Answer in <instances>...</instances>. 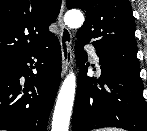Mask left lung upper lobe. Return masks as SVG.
Masks as SVG:
<instances>
[{"label":"left lung upper lobe","instance_id":"obj_1","mask_svg":"<svg viewBox=\"0 0 147 131\" xmlns=\"http://www.w3.org/2000/svg\"><path fill=\"white\" fill-rule=\"evenodd\" d=\"M66 6L79 8L86 15L77 40L91 42L100 56L140 72L129 0H66Z\"/></svg>","mask_w":147,"mask_h":131}]
</instances>
